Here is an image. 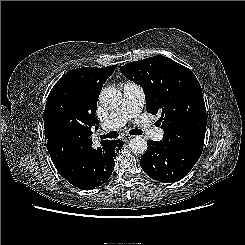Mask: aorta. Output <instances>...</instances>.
<instances>
[{
  "label": "aorta",
  "instance_id": "aorta-1",
  "mask_svg": "<svg viewBox=\"0 0 245 245\" xmlns=\"http://www.w3.org/2000/svg\"><path fill=\"white\" fill-rule=\"evenodd\" d=\"M99 101L103 106L115 109L122 102V94L117 88L107 87L101 91ZM128 146L133 153L143 154L147 149V141L141 136H135L129 141Z\"/></svg>",
  "mask_w": 245,
  "mask_h": 245
}]
</instances>
